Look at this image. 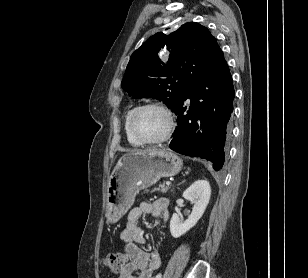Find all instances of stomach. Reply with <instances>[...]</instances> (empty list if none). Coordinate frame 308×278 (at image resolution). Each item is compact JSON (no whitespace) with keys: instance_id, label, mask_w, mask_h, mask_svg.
<instances>
[{"instance_id":"stomach-1","label":"stomach","mask_w":308,"mask_h":278,"mask_svg":"<svg viewBox=\"0 0 308 278\" xmlns=\"http://www.w3.org/2000/svg\"><path fill=\"white\" fill-rule=\"evenodd\" d=\"M182 165L180 157L166 150L122 156L108 181L106 222L116 223L133 205L140 190L154 185L160 178L176 175Z\"/></svg>"}]
</instances>
